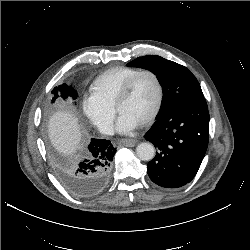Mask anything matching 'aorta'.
Wrapping results in <instances>:
<instances>
[{
	"label": "aorta",
	"instance_id": "obj_1",
	"mask_svg": "<svg viewBox=\"0 0 250 250\" xmlns=\"http://www.w3.org/2000/svg\"><path fill=\"white\" fill-rule=\"evenodd\" d=\"M136 154L139 159L143 161H150L155 156V148L151 143H140L136 147Z\"/></svg>",
	"mask_w": 250,
	"mask_h": 250
}]
</instances>
